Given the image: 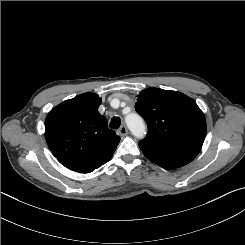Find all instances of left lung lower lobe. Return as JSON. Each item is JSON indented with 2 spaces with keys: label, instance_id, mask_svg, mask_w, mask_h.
<instances>
[{
  "label": "left lung lower lobe",
  "instance_id": "0a47b994",
  "mask_svg": "<svg viewBox=\"0 0 245 245\" xmlns=\"http://www.w3.org/2000/svg\"><path fill=\"white\" fill-rule=\"evenodd\" d=\"M139 146L146 158L165 169L182 167L195 158L187 154L162 148L146 140H142Z\"/></svg>",
  "mask_w": 245,
  "mask_h": 245
}]
</instances>
